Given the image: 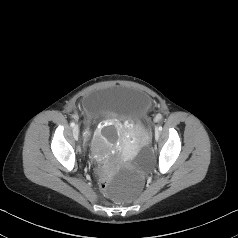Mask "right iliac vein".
I'll return each mask as SVG.
<instances>
[{
  "mask_svg": "<svg viewBox=\"0 0 238 238\" xmlns=\"http://www.w3.org/2000/svg\"><path fill=\"white\" fill-rule=\"evenodd\" d=\"M73 135H74V140L78 141V136H79V127H78V125L73 127Z\"/></svg>",
  "mask_w": 238,
  "mask_h": 238,
  "instance_id": "obj_1",
  "label": "right iliac vein"
}]
</instances>
